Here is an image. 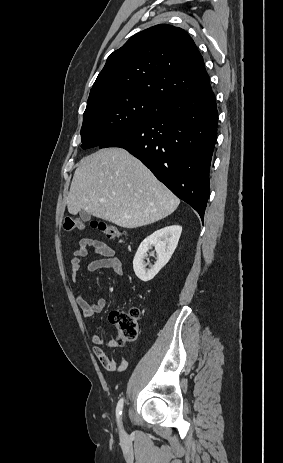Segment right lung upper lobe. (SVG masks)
<instances>
[{"mask_svg": "<svg viewBox=\"0 0 283 463\" xmlns=\"http://www.w3.org/2000/svg\"><path fill=\"white\" fill-rule=\"evenodd\" d=\"M211 89L204 61L181 28L160 24L132 36L107 58L88 101L129 92L158 104Z\"/></svg>", "mask_w": 283, "mask_h": 463, "instance_id": "obj_1", "label": "right lung upper lobe"}]
</instances>
